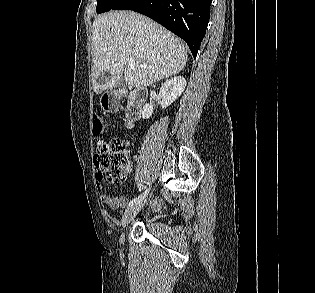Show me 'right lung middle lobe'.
Segmentation results:
<instances>
[{
  "label": "right lung middle lobe",
  "instance_id": "dd1d6c3e",
  "mask_svg": "<svg viewBox=\"0 0 315 293\" xmlns=\"http://www.w3.org/2000/svg\"><path fill=\"white\" fill-rule=\"evenodd\" d=\"M119 0H97V13L109 11Z\"/></svg>",
  "mask_w": 315,
  "mask_h": 293
}]
</instances>
